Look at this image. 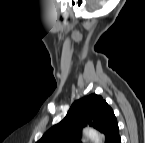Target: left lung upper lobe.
<instances>
[{
	"mask_svg": "<svg viewBox=\"0 0 145 143\" xmlns=\"http://www.w3.org/2000/svg\"><path fill=\"white\" fill-rule=\"evenodd\" d=\"M87 124L105 134V143H112L119 136L113 110L101 96L91 94L75 101L66 117L49 129L38 143H80L81 129Z\"/></svg>",
	"mask_w": 145,
	"mask_h": 143,
	"instance_id": "left-lung-upper-lobe-1",
	"label": "left lung upper lobe"
}]
</instances>
